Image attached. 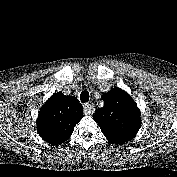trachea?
Returning <instances> with one entry per match:
<instances>
[{"instance_id":"trachea-1","label":"trachea","mask_w":177,"mask_h":177,"mask_svg":"<svg viewBox=\"0 0 177 177\" xmlns=\"http://www.w3.org/2000/svg\"><path fill=\"white\" fill-rule=\"evenodd\" d=\"M89 93L88 91L84 90L80 94V100L82 103L88 102L89 101Z\"/></svg>"}]
</instances>
